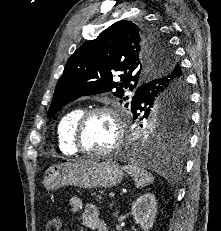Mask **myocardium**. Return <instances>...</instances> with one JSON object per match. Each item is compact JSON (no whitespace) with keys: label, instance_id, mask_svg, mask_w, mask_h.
<instances>
[{"label":"myocardium","instance_id":"f54148a6","mask_svg":"<svg viewBox=\"0 0 221 231\" xmlns=\"http://www.w3.org/2000/svg\"><path fill=\"white\" fill-rule=\"evenodd\" d=\"M100 113L106 114L111 118L115 128V140L113 144L107 149L101 151H89L85 149L82 145V141H81L82 130L84 128L85 123L90 117ZM123 137H124V126L118 110L114 106H106V105L96 106L83 111L82 114L76 120L73 128L72 143L76 151L79 152L80 154L91 156V157H104L112 154L120 147L123 141Z\"/></svg>","mask_w":221,"mask_h":231}]
</instances>
